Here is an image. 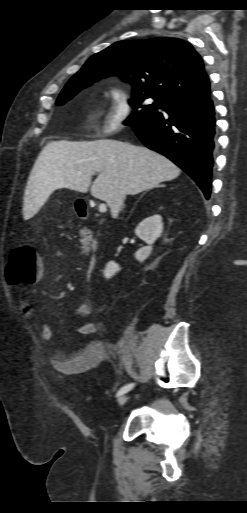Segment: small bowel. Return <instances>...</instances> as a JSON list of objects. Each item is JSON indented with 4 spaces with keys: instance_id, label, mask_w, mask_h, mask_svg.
<instances>
[{
    "instance_id": "small-bowel-1",
    "label": "small bowel",
    "mask_w": 247,
    "mask_h": 513,
    "mask_svg": "<svg viewBox=\"0 0 247 513\" xmlns=\"http://www.w3.org/2000/svg\"><path fill=\"white\" fill-rule=\"evenodd\" d=\"M56 258L62 259V252H56ZM58 275V273L56 274ZM23 312L27 317L33 315L32 305L25 302ZM91 313V306L88 303L80 304L75 310V316L85 318ZM41 339L50 342L53 338L52 328L45 323L38 327ZM78 332L85 337L91 338L86 346L78 352H55L49 357L51 367L58 373L65 375L81 374L96 368L109 358H118L122 352L120 343L107 345L103 340L96 337L98 327L92 322H81Z\"/></svg>"
}]
</instances>
